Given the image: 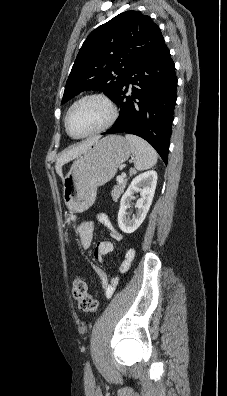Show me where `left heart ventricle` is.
<instances>
[{
  "instance_id": "b2bd125f",
  "label": "left heart ventricle",
  "mask_w": 227,
  "mask_h": 396,
  "mask_svg": "<svg viewBox=\"0 0 227 396\" xmlns=\"http://www.w3.org/2000/svg\"><path fill=\"white\" fill-rule=\"evenodd\" d=\"M108 117L107 106L98 99H90L72 110L68 124L74 135H84L100 127Z\"/></svg>"
}]
</instances>
